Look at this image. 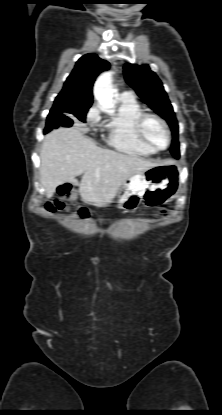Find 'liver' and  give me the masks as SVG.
Returning a JSON list of instances; mask_svg holds the SVG:
<instances>
[{
	"label": "liver",
	"mask_w": 222,
	"mask_h": 415,
	"mask_svg": "<svg viewBox=\"0 0 222 415\" xmlns=\"http://www.w3.org/2000/svg\"><path fill=\"white\" fill-rule=\"evenodd\" d=\"M40 179L46 197L66 182L79 186L81 199L96 206L111 203L131 176L172 160L152 161L137 154L103 149L75 128H58L48 133L40 152ZM83 174L79 183L77 176Z\"/></svg>",
	"instance_id": "liver-1"
}]
</instances>
